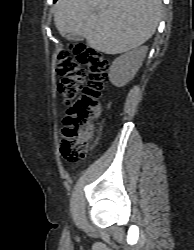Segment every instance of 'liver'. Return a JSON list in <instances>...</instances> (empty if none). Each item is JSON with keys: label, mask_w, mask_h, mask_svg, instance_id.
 Masks as SVG:
<instances>
[{"label": "liver", "mask_w": 194, "mask_h": 250, "mask_svg": "<svg viewBox=\"0 0 194 250\" xmlns=\"http://www.w3.org/2000/svg\"><path fill=\"white\" fill-rule=\"evenodd\" d=\"M161 0H58L54 22L62 36L79 34L105 54H121L152 37Z\"/></svg>", "instance_id": "liver-1"}]
</instances>
